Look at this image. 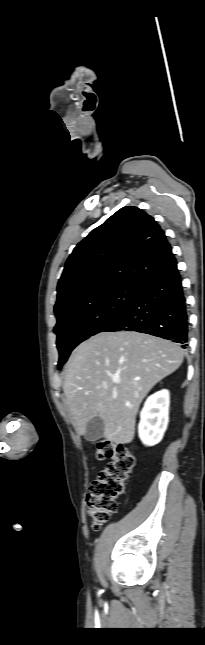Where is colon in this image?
<instances>
[{"mask_svg":"<svg viewBox=\"0 0 205 645\" xmlns=\"http://www.w3.org/2000/svg\"><path fill=\"white\" fill-rule=\"evenodd\" d=\"M96 458L111 460L93 481L87 498V511L92 518V526L98 530L116 513L117 498L125 491L135 458L123 444L108 440L97 443Z\"/></svg>","mask_w":205,"mask_h":645,"instance_id":"5ec220e1","label":"colon"}]
</instances>
